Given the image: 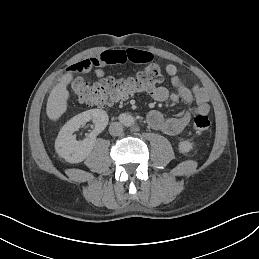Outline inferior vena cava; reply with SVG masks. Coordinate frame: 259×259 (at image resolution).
I'll use <instances>...</instances> for the list:
<instances>
[{"label": "inferior vena cava", "mask_w": 259, "mask_h": 259, "mask_svg": "<svg viewBox=\"0 0 259 259\" xmlns=\"http://www.w3.org/2000/svg\"><path fill=\"white\" fill-rule=\"evenodd\" d=\"M123 127L122 124L119 122H113L109 127V133L112 136H118L122 133Z\"/></svg>", "instance_id": "inferior-vena-cava-1"}]
</instances>
